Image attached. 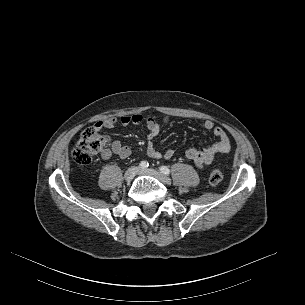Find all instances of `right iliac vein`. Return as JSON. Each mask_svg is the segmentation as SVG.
I'll return each instance as SVG.
<instances>
[{
	"label": "right iliac vein",
	"mask_w": 305,
	"mask_h": 305,
	"mask_svg": "<svg viewBox=\"0 0 305 305\" xmlns=\"http://www.w3.org/2000/svg\"><path fill=\"white\" fill-rule=\"evenodd\" d=\"M139 168L136 166L130 167L126 170V172L124 173V179L126 181H131L135 175L138 173Z\"/></svg>",
	"instance_id": "1"
}]
</instances>
